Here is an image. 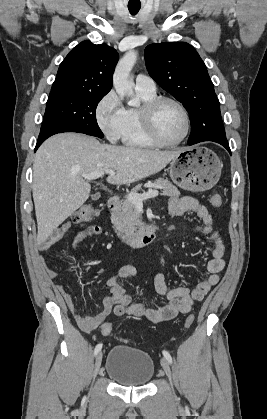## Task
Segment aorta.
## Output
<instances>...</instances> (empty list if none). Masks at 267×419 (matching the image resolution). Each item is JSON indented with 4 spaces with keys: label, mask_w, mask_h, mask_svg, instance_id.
Instances as JSON below:
<instances>
[{
    "label": "aorta",
    "mask_w": 267,
    "mask_h": 419,
    "mask_svg": "<svg viewBox=\"0 0 267 419\" xmlns=\"http://www.w3.org/2000/svg\"><path fill=\"white\" fill-rule=\"evenodd\" d=\"M137 53L127 52L118 62L113 75V85L120 97L130 98V106H139V99L134 97V82L129 79L130 72L136 63Z\"/></svg>",
    "instance_id": "obj_1"
}]
</instances>
